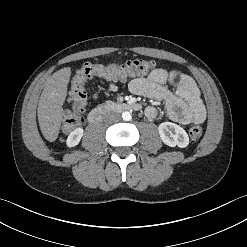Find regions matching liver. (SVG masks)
I'll return each mask as SVG.
<instances>
[{
  "mask_svg": "<svg viewBox=\"0 0 247 247\" xmlns=\"http://www.w3.org/2000/svg\"><path fill=\"white\" fill-rule=\"evenodd\" d=\"M71 76L69 67L60 69L44 83L38 103L40 130L49 142H54L59 134L63 119V104L67 96V85Z\"/></svg>",
  "mask_w": 247,
  "mask_h": 247,
  "instance_id": "obj_1",
  "label": "liver"
}]
</instances>
